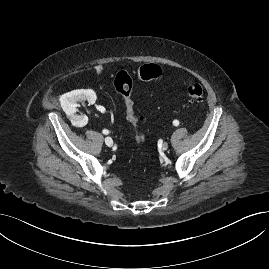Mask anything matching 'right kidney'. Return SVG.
I'll return each instance as SVG.
<instances>
[{
    "mask_svg": "<svg viewBox=\"0 0 269 269\" xmlns=\"http://www.w3.org/2000/svg\"><path fill=\"white\" fill-rule=\"evenodd\" d=\"M87 100L90 104L95 103L96 93L92 89H80L73 90L65 93L60 97L61 107L66 115L71 119L80 123V125H86L88 117L86 115H75L77 102Z\"/></svg>",
    "mask_w": 269,
    "mask_h": 269,
    "instance_id": "right-kidney-1",
    "label": "right kidney"
}]
</instances>
